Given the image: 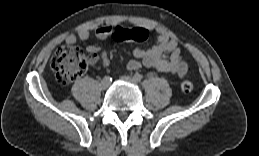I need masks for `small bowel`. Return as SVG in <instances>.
I'll use <instances>...</instances> for the list:
<instances>
[{
  "mask_svg": "<svg viewBox=\"0 0 259 156\" xmlns=\"http://www.w3.org/2000/svg\"><path fill=\"white\" fill-rule=\"evenodd\" d=\"M121 29L123 28L116 25L101 26L96 29L95 36L103 40L112 37L116 31ZM89 37V31L83 29L79 31L77 37L73 34L68 35L66 42L73 44L77 38L81 41H86ZM86 50L90 54L91 62L100 61L105 66L110 64L107 53L100 47L89 45L86 47ZM133 55L136 59L130 60L127 64L128 69L131 71L146 66L159 72L171 73L179 78H183L188 72V64L182 58L178 42L167 35H159L156 38L155 45L150 48H136L133 51Z\"/></svg>",
  "mask_w": 259,
  "mask_h": 156,
  "instance_id": "obj_1",
  "label": "small bowel"
}]
</instances>
